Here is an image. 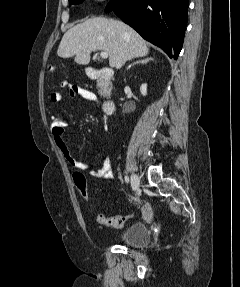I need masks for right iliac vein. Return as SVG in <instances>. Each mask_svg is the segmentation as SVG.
<instances>
[{
  "mask_svg": "<svg viewBox=\"0 0 240 287\" xmlns=\"http://www.w3.org/2000/svg\"><path fill=\"white\" fill-rule=\"evenodd\" d=\"M131 185L135 191H138L140 188V178L134 173L131 175Z\"/></svg>",
  "mask_w": 240,
  "mask_h": 287,
  "instance_id": "63e3f726",
  "label": "right iliac vein"
}]
</instances>
